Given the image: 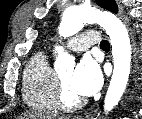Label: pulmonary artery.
Wrapping results in <instances>:
<instances>
[{"label": "pulmonary artery", "mask_w": 142, "mask_h": 119, "mask_svg": "<svg viewBox=\"0 0 142 119\" xmlns=\"http://www.w3.org/2000/svg\"><path fill=\"white\" fill-rule=\"evenodd\" d=\"M100 43L98 34L95 30H91L87 33L73 37L66 42V46L74 52L80 53L95 45Z\"/></svg>", "instance_id": "obj_1"}]
</instances>
